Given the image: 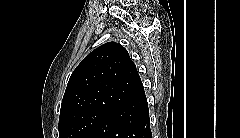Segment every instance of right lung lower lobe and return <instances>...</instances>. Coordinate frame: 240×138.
Instances as JSON below:
<instances>
[{"label":"right lung lower lobe","instance_id":"right-lung-lower-lobe-1","mask_svg":"<svg viewBox=\"0 0 240 138\" xmlns=\"http://www.w3.org/2000/svg\"><path fill=\"white\" fill-rule=\"evenodd\" d=\"M86 138H152L145 92L108 112Z\"/></svg>","mask_w":240,"mask_h":138}]
</instances>
